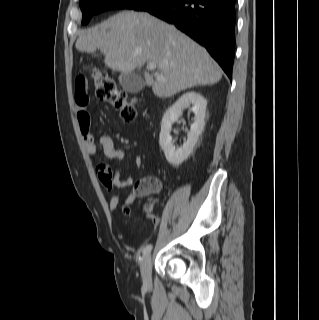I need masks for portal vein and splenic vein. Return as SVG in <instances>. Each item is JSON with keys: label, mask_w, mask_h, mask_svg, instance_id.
<instances>
[{"label": "portal vein and splenic vein", "mask_w": 319, "mask_h": 320, "mask_svg": "<svg viewBox=\"0 0 319 320\" xmlns=\"http://www.w3.org/2000/svg\"><path fill=\"white\" fill-rule=\"evenodd\" d=\"M147 67L150 70H155L157 66H156V64L154 62H149ZM157 79L163 80L164 78L161 75H157Z\"/></svg>", "instance_id": "1"}]
</instances>
